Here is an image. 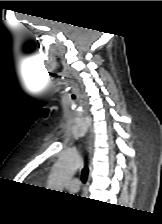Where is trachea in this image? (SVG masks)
Returning a JSON list of instances; mask_svg holds the SVG:
<instances>
[{
	"mask_svg": "<svg viewBox=\"0 0 162 224\" xmlns=\"http://www.w3.org/2000/svg\"><path fill=\"white\" fill-rule=\"evenodd\" d=\"M88 173H89V169H88L87 166H85V167L82 169V174H81V177H82V181H83V182H86L87 177H88Z\"/></svg>",
	"mask_w": 162,
	"mask_h": 224,
	"instance_id": "trachea-1",
	"label": "trachea"
}]
</instances>
